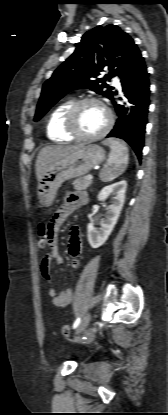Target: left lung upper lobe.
Segmentation results:
<instances>
[{"label": "left lung upper lobe", "mask_w": 168, "mask_h": 415, "mask_svg": "<svg viewBox=\"0 0 168 415\" xmlns=\"http://www.w3.org/2000/svg\"><path fill=\"white\" fill-rule=\"evenodd\" d=\"M139 53L133 39L116 25L98 26L86 32L74 53L44 83L34 120L38 121L75 89H91L112 101L116 90L106 81L114 76L122 78ZM104 69L110 72L101 77Z\"/></svg>", "instance_id": "obj_1"}]
</instances>
